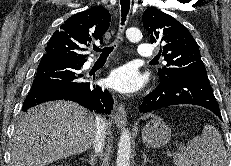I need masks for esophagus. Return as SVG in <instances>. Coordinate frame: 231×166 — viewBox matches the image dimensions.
<instances>
[{
	"label": "esophagus",
	"instance_id": "1",
	"mask_svg": "<svg viewBox=\"0 0 231 166\" xmlns=\"http://www.w3.org/2000/svg\"><path fill=\"white\" fill-rule=\"evenodd\" d=\"M113 119L118 128H122L126 124V111L125 106L122 103L118 104L116 107Z\"/></svg>",
	"mask_w": 231,
	"mask_h": 166
}]
</instances>
